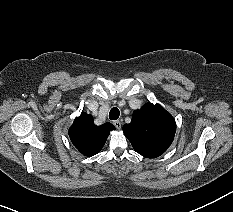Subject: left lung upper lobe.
Instances as JSON below:
<instances>
[{
    "label": "left lung upper lobe",
    "instance_id": "5c2ea615",
    "mask_svg": "<svg viewBox=\"0 0 233 212\" xmlns=\"http://www.w3.org/2000/svg\"><path fill=\"white\" fill-rule=\"evenodd\" d=\"M123 131L136 152L155 158L171 145L176 123L161 105L146 103L140 110L134 111L131 123L125 124Z\"/></svg>",
    "mask_w": 233,
    "mask_h": 212
}]
</instances>
